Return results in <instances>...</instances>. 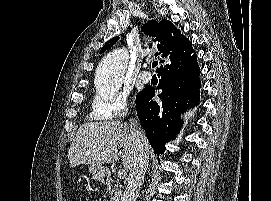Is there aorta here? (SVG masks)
Returning a JSON list of instances; mask_svg holds the SVG:
<instances>
[{
  "mask_svg": "<svg viewBox=\"0 0 271 201\" xmlns=\"http://www.w3.org/2000/svg\"><path fill=\"white\" fill-rule=\"evenodd\" d=\"M128 52L115 49L109 52L100 62L96 70V85L100 92H117L128 64Z\"/></svg>",
  "mask_w": 271,
  "mask_h": 201,
  "instance_id": "obj_1",
  "label": "aorta"
}]
</instances>
